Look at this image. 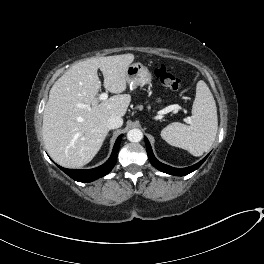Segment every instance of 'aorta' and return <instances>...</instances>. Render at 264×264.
I'll list each match as a JSON object with an SVG mask.
<instances>
[{
    "mask_svg": "<svg viewBox=\"0 0 264 264\" xmlns=\"http://www.w3.org/2000/svg\"><path fill=\"white\" fill-rule=\"evenodd\" d=\"M143 138V133L140 129H131L127 133V139L130 142H139Z\"/></svg>",
    "mask_w": 264,
    "mask_h": 264,
    "instance_id": "1",
    "label": "aorta"
}]
</instances>
